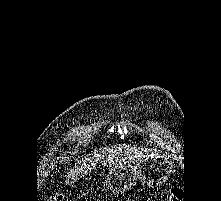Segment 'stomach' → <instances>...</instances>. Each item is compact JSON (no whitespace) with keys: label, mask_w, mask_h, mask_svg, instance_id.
<instances>
[{"label":"stomach","mask_w":221,"mask_h":201,"mask_svg":"<svg viewBox=\"0 0 221 201\" xmlns=\"http://www.w3.org/2000/svg\"><path fill=\"white\" fill-rule=\"evenodd\" d=\"M173 171V160L169 156L150 155L139 159L136 164L126 163L113 167L105 176L103 186L114 194H122L138 183L161 185Z\"/></svg>","instance_id":"stomach-1"}]
</instances>
